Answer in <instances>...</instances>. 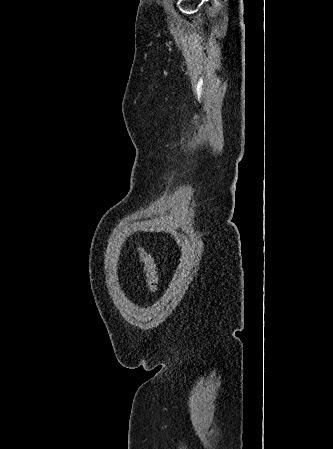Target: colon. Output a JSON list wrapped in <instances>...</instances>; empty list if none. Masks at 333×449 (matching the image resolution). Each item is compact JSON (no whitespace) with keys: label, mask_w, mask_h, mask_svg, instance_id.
<instances>
[{"label":"colon","mask_w":333,"mask_h":449,"mask_svg":"<svg viewBox=\"0 0 333 449\" xmlns=\"http://www.w3.org/2000/svg\"><path fill=\"white\" fill-rule=\"evenodd\" d=\"M136 252L143 265L145 280L150 293H155L158 287V264L155 258L142 247L137 246Z\"/></svg>","instance_id":"5ec220e1"}]
</instances>
